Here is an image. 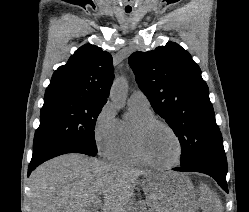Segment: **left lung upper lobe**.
Returning <instances> with one entry per match:
<instances>
[{"label": "left lung upper lobe", "instance_id": "obj_1", "mask_svg": "<svg viewBox=\"0 0 249 212\" xmlns=\"http://www.w3.org/2000/svg\"><path fill=\"white\" fill-rule=\"evenodd\" d=\"M139 88L172 128L182 148L181 166L223 149L209 89L199 66L181 46L169 42L129 57Z\"/></svg>", "mask_w": 249, "mask_h": 212}]
</instances>
